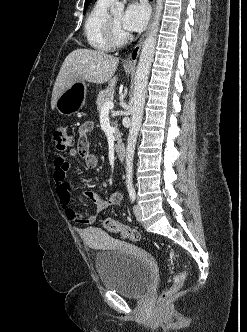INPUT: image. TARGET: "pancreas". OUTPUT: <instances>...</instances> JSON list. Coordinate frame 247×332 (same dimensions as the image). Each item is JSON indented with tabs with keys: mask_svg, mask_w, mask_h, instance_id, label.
Here are the masks:
<instances>
[{
	"mask_svg": "<svg viewBox=\"0 0 247 332\" xmlns=\"http://www.w3.org/2000/svg\"><path fill=\"white\" fill-rule=\"evenodd\" d=\"M114 98V90L109 88V89H105L103 91H101L98 96H97V100H96V104H97V110L98 112H101L102 107L104 105L105 102L107 101H112ZM114 128L116 129V133H115V137L117 140H120V133L117 130V124L114 123Z\"/></svg>",
	"mask_w": 247,
	"mask_h": 332,
	"instance_id": "obj_1",
	"label": "pancreas"
}]
</instances>
